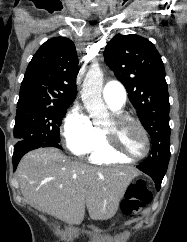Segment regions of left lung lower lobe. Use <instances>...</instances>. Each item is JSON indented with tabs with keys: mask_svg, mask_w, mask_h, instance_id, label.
<instances>
[{
	"mask_svg": "<svg viewBox=\"0 0 187 242\" xmlns=\"http://www.w3.org/2000/svg\"><path fill=\"white\" fill-rule=\"evenodd\" d=\"M137 168L143 171L144 173L148 174L154 180L156 189L157 190L160 189L162 180L164 178V175L167 169L148 167V166H142V165H138Z\"/></svg>",
	"mask_w": 187,
	"mask_h": 242,
	"instance_id": "left-lung-lower-lobe-1",
	"label": "left lung lower lobe"
}]
</instances>
